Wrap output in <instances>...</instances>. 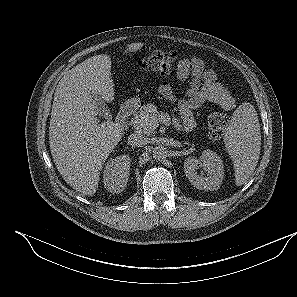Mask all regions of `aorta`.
<instances>
[{
  "instance_id": "aorta-1",
  "label": "aorta",
  "mask_w": 297,
  "mask_h": 297,
  "mask_svg": "<svg viewBox=\"0 0 297 297\" xmlns=\"http://www.w3.org/2000/svg\"><path fill=\"white\" fill-rule=\"evenodd\" d=\"M152 155H153V158L157 160L164 159L168 155L167 148L162 145L156 146L153 148Z\"/></svg>"
}]
</instances>
